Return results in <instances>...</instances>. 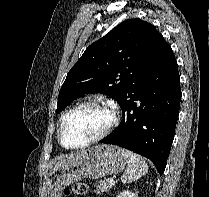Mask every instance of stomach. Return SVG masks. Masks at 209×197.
Returning a JSON list of instances; mask_svg holds the SVG:
<instances>
[{
	"mask_svg": "<svg viewBox=\"0 0 209 197\" xmlns=\"http://www.w3.org/2000/svg\"><path fill=\"white\" fill-rule=\"evenodd\" d=\"M122 149L98 145L58 163L46 178L47 197H61L63 188L84 178H102L123 170Z\"/></svg>",
	"mask_w": 209,
	"mask_h": 197,
	"instance_id": "stomach-1",
	"label": "stomach"
}]
</instances>
